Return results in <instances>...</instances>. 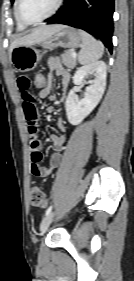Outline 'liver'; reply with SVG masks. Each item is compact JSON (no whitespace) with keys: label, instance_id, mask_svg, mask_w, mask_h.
Returning <instances> with one entry per match:
<instances>
[{"label":"liver","instance_id":"liver-1","mask_svg":"<svg viewBox=\"0 0 134 281\" xmlns=\"http://www.w3.org/2000/svg\"><path fill=\"white\" fill-rule=\"evenodd\" d=\"M63 25H48L34 29L31 33L15 39L10 46V52L17 46L32 45L43 41L52 34L56 33Z\"/></svg>","mask_w":134,"mask_h":281}]
</instances>
